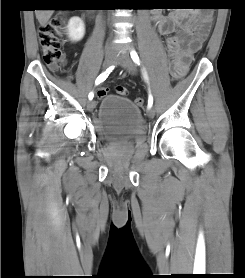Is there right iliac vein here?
<instances>
[{
    "mask_svg": "<svg viewBox=\"0 0 245 278\" xmlns=\"http://www.w3.org/2000/svg\"><path fill=\"white\" fill-rule=\"evenodd\" d=\"M116 61V54L113 50H110L106 53L105 55V59H104V63H103V68L107 69L110 66H112ZM95 101L94 100H90L87 104V108L89 111H93L95 108Z\"/></svg>",
    "mask_w": 245,
    "mask_h": 278,
    "instance_id": "obj_1",
    "label": "right iliac vein"
}]
</instances>
